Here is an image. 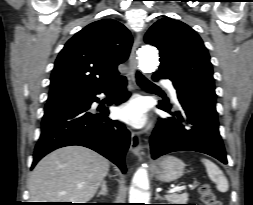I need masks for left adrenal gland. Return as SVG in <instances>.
I'll return each mask as SVG.
<instances>
[{
	"instance_id": "a2214340",
	"label": "left adrenal gland",
	"mask_w": 253,
	"mask_h": 205,
	"mask_svg": "<svg viewBox=\"0 0 253 205\" xmlns=\"http://www.w3.org/2000/svg\"><path fill=\"white\" fill-rule=\"evenodd\" d=\"M155 199H160V200H163V198L159 195L158 192H155Z\"/></svg>"
}]
</instances>
